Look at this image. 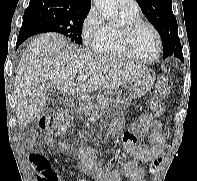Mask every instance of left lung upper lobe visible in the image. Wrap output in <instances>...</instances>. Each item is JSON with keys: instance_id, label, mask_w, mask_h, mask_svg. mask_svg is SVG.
<instances>
[{"instance_id": "1", "label": "left lung upper lobe", "mask_w": 197, "mask_h": 181, "mask_svg": "<svg viewBox=\"0 0 197 181\" xmlns=\"http://www.w3.org/2000/svg\"><path fill=\"white\" fill-rule=\"evenodd\" d=\"M143 14L154 25L161 36L163 59L176 56L184 61L178 37V26L172 12V0H136Z\"/></svg>"}]
</instances>
